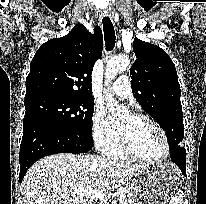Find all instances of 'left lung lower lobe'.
Returning <instances> with one entry per match:
<instances>
[{
    "label": "left lung lower lobe",
    "mask_w": 206,
    "mask_h": 204,
    "mask_svg": "<svg viewBox=\"0 0 206 204\" xmlns=\"http://www.w3.org/2000/svg\"><path fill=\"white\" fill-rule=\"evenodd\" d=\"M170 153H171V160L180 168L182 173L186 176V151L185 149L177 144V143H170Z\"/></svg>",
    "instance_id": "1"
}]
</instances>
